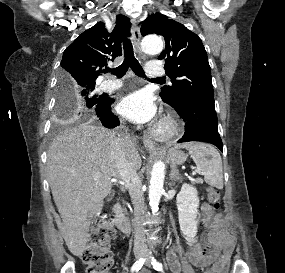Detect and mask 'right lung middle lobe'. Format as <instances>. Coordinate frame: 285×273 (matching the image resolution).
Instances as JSON below:
<instances>
[{"mask_svg": "<svg viewBox=\"0 0 285 273\" xmlns=\"http://www.w3.org/2000/svg\"><path fill=\"white\" fill-rule=\"evenodd\" d=\"M94 90L95 85H76L61 75L57 92L59 119L74 121L96 116L97 105L104 97L96 95Z\"/></svg>", "mask_w": 285, "mask_h": 273, "instance_id": "obj_1", "label": "right lung middle lobe"}]
</instances>
